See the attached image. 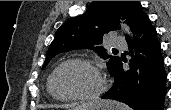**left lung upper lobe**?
Listing matches in <instances>:
<instances>
[{
    "label": "left lung upper lobe",
    "instance_id": "1",
    "mask_svg": "<svg viewBox=\"0 0 171 110\" xmlns=\"http://www.w3.org/2000/svg\"><path fill=\"white\" fill-rule=\"evenodd\" d=\"M146 16L138 1H95L83 15L70 19L57 30L42 69L59 53L74 49H92L102 58L109 59L107 68L113 75L121 59L108 55L102 46H98L102 43L103 35L118 29L120 18L126 19L135 33Z\"/></svg>",
    "mask_w": 171,
    "mask_h": 110
}]
</instances>
